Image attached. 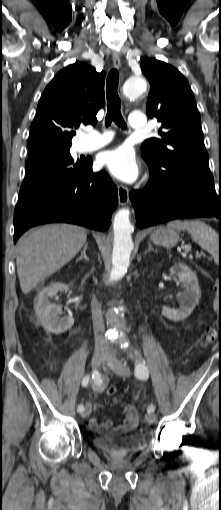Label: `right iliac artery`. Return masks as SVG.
Wrapping results in <instances>:
<instances>
[{
	"label": "right iliac artery",
	"instance_id": "1",
	"mask_svg": "<svg viewBox=\"0 0 221 510\" xmlns=\"http://www.w3.org/2000/svg\"><path fill=\"white\" fill-rule=\"evenodd\" d=\"M97 375H98V372L94 371L93 374H92V378L96 377ZM90 379H91V376L90 375H86L83 378V380H82V386L86 387L88 385ZM77 411L78 412H83L84 411V406L82 404L78 405Z\"/></svg>",
	"mask_w": 221,
	"mask_h": 510
}]
</instances>
